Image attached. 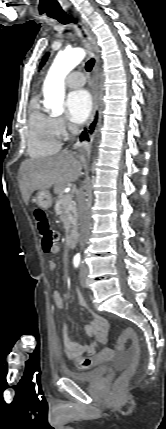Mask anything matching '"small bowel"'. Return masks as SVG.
<instances>
[{"label": "small bowel", "instance_id": "c3829d8e", "mask_svg": "<svg viewBox=\"0 0 166 429\" xmlns=\"http://www.w3.org/2000/svg\"><path fill=\"white\" fill-rule=\"evenodd\" d=\"M59 250V247L56 245L49 251V253L57 254L59 253ZM48 268L51 271L56 270V262L50 260L48 262ZM77 298L79 303L83 307L87 308L86 301L80 293H77ZM53 299L57 308L62 309L64 307V297L58 290L54 291ZM91 315L92 320L85 326V331L88 335L94 336L95 341L89 345H83L71 341L69 337L68 323L66 321H62L61 323L65 354L68 359L74 362V364L81 370L90 369L103 364L104 362L113 358L115 355V352L110 348L99 349L101 345H104L108 342V321L93 312H91ZM129 355H131L130 350L122 353V357H127Z\"/></svg>", "mask_w": 166, "mask_h": 429}]
</instances>
